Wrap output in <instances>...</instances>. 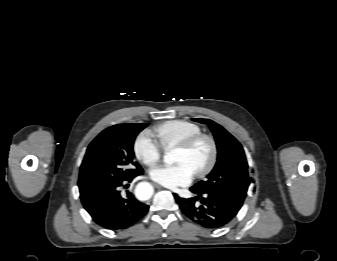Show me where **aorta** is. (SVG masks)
<instances>
[{"mask_svg":"<svg viewBox=\"0 0 337 261\" xmlns=\"http://www.w3.org/2000/svg\"><path fill=\"white\" fill-rule=\"evenodd\" d=\"M164 162L171 164L174 162V156L172 152H168L164 156ZM153 194V187L148 182H141L135 188V195L139 200H148Z\"/></svg>","mask_w":337,"mask_h":261,"instance_id":"aorta-1","label":"aorta"}]
</instances>
